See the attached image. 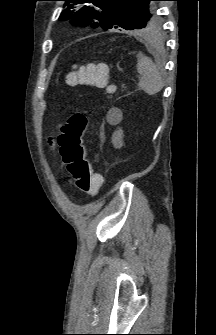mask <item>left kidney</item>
I'll return each instance as SVG.
<instances>
[{
  "instance_id": "1",
  "label": "left kidney",
  "mask_w": 216,
  "mask_h": 335,
  "mask_svg": "<svg viewBox=\"0 0 216 335\" xmlns=\"http://www.w3.org/2000/svg\"><path fill=\"white\" fill-rule=\"evenodd\" d=\"M123 130L121 128H118L116 131H114L111 142L116 149H120L123 146Z\"/></svg>"
}]
</instances>
